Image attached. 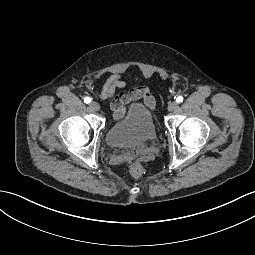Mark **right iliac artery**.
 I'll use <instances>...</instances> for the list:
<instances>
[{
  "instance_id": "1",
  "label": "right iliac artery",
  "mask_w": 255,
  "mask_h": 255,
  "mask_svg": "<svg viewBox=\"0 0 255 255\" xmlns=\"http://www.w3.org/2000/svg\"><path fill=\"white\" fill-rule=\"evenodd\" d=\"M84 102L85 103H90L91 102V98L90 97H85L84 98Z\"/></svg>"
}]
</instances>
